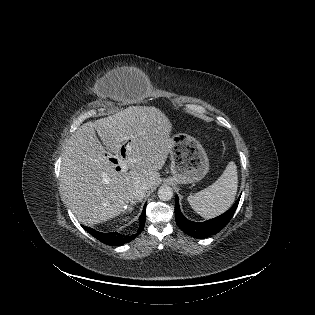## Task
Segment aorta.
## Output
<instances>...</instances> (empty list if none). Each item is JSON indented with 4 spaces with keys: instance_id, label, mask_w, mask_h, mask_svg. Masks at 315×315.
Segmentation results:
<instances>
[{
    "instance_id": "aorta-1",
    "label": "aorta",
    "mask_w": 315,
    "mask_h": 315,
    "mask_svg": "<svg viewBox=\"0 0 315 315\" xmlns=\"http://www.w3.org/2000/svg\"><path fill=\"white\" fill-rule=\"evenodd\" d=\"M158 197L162 201L171 200L173 197V190L169 186H161L158 190Z\"/></svg>"
}]
</instances>
